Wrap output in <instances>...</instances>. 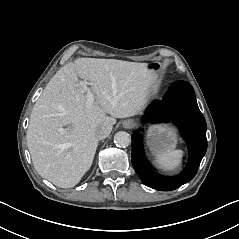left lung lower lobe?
I'll return each instance as SVG.
<instances>
[{
	"instance_id": "1",
	"label": "left lung lower lobe",
	"mask_w": 239,
	"mask_h": 239,
	"mask_svg": "<svg viewBox=\"0 0 239 239\" xmlns=\"http://www.w3.org/2000/svg\"><path fill=\"white\" fill-rule=\"evenodd\" d=\"M150 122L173 120L189 148L186 168L176 176L166 177L152 172L144 163L137 134L132 135V164L141 181L148 187L171 191L194 178L207 150L206 121L200 112L194 89L185 81L175 82L162 100L153 101L146 109Z\"/></svg>"
}]
</instances>
